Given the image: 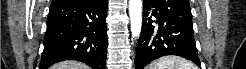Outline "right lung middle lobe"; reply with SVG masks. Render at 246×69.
I'll use <instances>...</instances> for the list:
<instances>
[{"label":"right lung middle lobe","mask_w":246,"mask_h":69,"mask_svg":"<svg viewBox=\"0 0 246 69\" xmlns=\"http://www.w3.org/2000/svg\"><path fill=\"white\" fill-rule=\"evenodd\" d=\"M87 3V2H85V1H75V2H71V3Z\"/></svg>","instance_id":"1"}]
</instances>
